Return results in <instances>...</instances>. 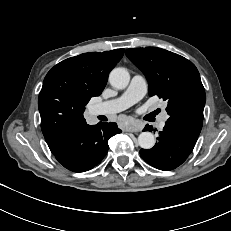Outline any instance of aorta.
<instances>
[{
    "mask_svg": "<svg viewBox=\"0 0 231 231\" xmlns=\"http://www.w3.org/2000/svg\"><path fill=\"white\" fill-rule=\"evenodd\" d=\"M130 74L125 68H114L109 75L110 84L116 89H124L128 86ZM138 144L143 149H150L155 145L153 133L145 131L138 136Z\"/></svg>",
    "mask_w": 231,
    "mask_h": 231,
    "instance_id": "762f6f07",
    "label": "aorta"
}]
</instances>
